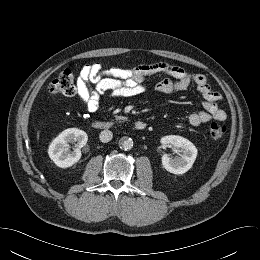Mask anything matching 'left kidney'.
Returning <instances> with one entry per match:
<instances>
[{
	"label": "left kidney",
	"mask_w": 260,
	"mask_h": 260,
	"mask_svg": "<svg viewBox=\"0 0 260 260\" xmlns=\"http://www.w3.org/2000/svg\"><path fill=\"white\" fill-rule=\"evenodd\" d=\"M161 143L179 148L181 153L176 158H171L167 154L162 156V165L168 172L183 174L192 167L198 153L192 142L181 136L169 135L163 137Z\"/></svg>",
	"instance_id": "left-kidney-1"
}]
</instances>
